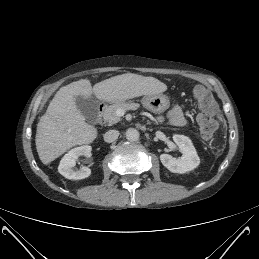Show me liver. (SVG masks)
I'll return each mask as SVG.
<instances>
[{"label": "liver", "mask_w": 259, "mask_h": 259, "mask_svg": "<svg viewBox=\"0 0 259 259\" xmlns=\"http://www.w3.org/2000/svg\"><path fill=\"white\" fill-rule=\"evenodd\" d=\"M167 86L154 77L126 73L96 83L88 79L61 87L37 124L36 149L43 164H48L76 145L90 144L97 130L86 123L75 97L96 98L106 102L125 101L142 95L159 94Z\"/></svg>", "instance_id": "obj_1"}]
</instances>
